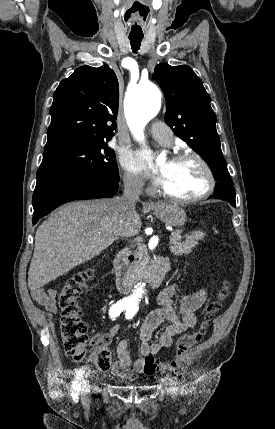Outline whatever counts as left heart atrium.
<instances>
[{"label":"left heart atrium","mask_w":275,"mask_h":429,"mask_svg":"<svg viewBox=\"0 0 275 429\" xmlns=\"http://www.w3.org/2000/svg\"><path fill=\"white\" fill-rule=\"evenodd\" d=\"M124 160H125V163L131 169L137 172L149 174L151 165H150V159L146 152L140 151L136 153H129L125 156ZM152 178L157 184L162 185L163 176L160 173L153 175Z\"/></svg>","instance_id":"1"}]
</instances>
